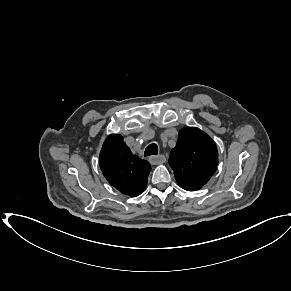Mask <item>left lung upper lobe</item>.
I'll return each instance as SVG.
<instances>
[{"label":"left lung upper lobe","mask_w":291,"mask_h":291,"mask_svg":"<svg viewBox=\"0 0 291 291\" xmlns=\"http://www.w3.org/2000/svg\"><path fill=\"white\" fill-rule=\"evenodd\" d=\"M169 164L181 188L199 190L216 171L218 151L215 142L200 129L185 127L179 131Z\"/></svg>","instance_id":"obj_1"}]
</instances>
